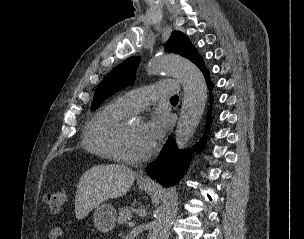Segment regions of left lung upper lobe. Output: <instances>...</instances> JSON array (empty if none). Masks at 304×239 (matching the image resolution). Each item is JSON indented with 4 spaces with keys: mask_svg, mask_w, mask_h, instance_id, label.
<instances>
[{
    "mask_svg": "<svg viewBox=\"0 0 304 239\" xmlns=\"http://www.w3.org/2000/svg\"><path fill=\"white\" fill-rule=\"evenodd\" d=\"M165 49L167 52L177 53L186 57L197 66L203 60L196 48L182 32L174 31L167 41ZM139 60V57H130L106 75L96 89L91 105L92 110H95L113 93L123 89L134 81V72Z\"/></svg>",
    "mask_w": 304,
    "mask_h": 239,
    "instance_id": "1",
    "label": "left lung upper lobe"
}]
</instances>
